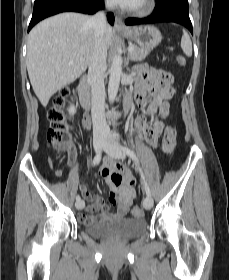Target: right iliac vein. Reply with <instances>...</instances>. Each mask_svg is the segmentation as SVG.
<instances>
[{
    "label": "right iliac vein",
    "mask_w": 229,
    "mask_h": 280,
    "mask_svg": "<svg viewBox=\"0 0 229 280\" xmlns=\"http://www.w3.org/2000/svg\"><path fill=\"white\" fill-rule=\"evenodd\" d=\"M104 144H105V140L104 139H96V140H94V143H93L94 150L97 153H100L102 148H103V146H104ZM84 205H85L84 200H79V201L76 202L75 207L78 210H82Z\"/></svg>",
    "instance_id": "right-iliac-vein-1"
}]
</instances>
